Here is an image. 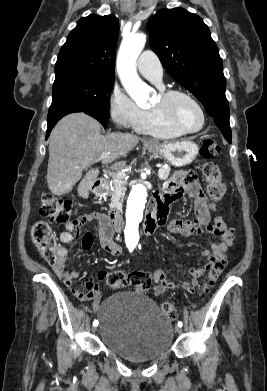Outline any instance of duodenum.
Segmentation results:
<instances>
[{"label": "duodenum", "mask_w": 267, "mask_h": 391, "mask_svg": "<svg viewBox=\"0 0 267 391\" xmlns=\"http://www.w3.org/2000/svg\"><path fill=\"white\" fill-rule=\"evenodd\" d=\"M107 187L105 178H98L92 185V192L96 195L104 193ZM163 224L161 214L157 209L151 211L145 218L143 229L146 234L154 233ZM109 227L113 232H120L122 229V211L118 208L109 213Z\"/></svg>", "instance_id": "duodenum-1"}]
</instances>
